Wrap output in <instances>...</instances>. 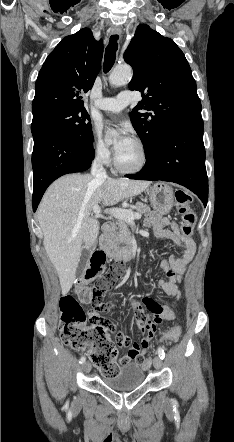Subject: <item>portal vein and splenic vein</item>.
<instances>
[{
    "label": "portal vein and splenic vein",
    "mask_w": 234,
    "mask_h": 442,
    "mask_svg": "<svg viewBox=\"0 0 234 442\" xmlns=\"http://www.w3.org/2000/svg\"><path fill=\"white\" fill-rule=\"evenodd\" d=\"M93 212L96 216H99L101 213L100 206L95 205L93 207ZM105 213L113 216L114 218H117L119 220H124L129 223H132L135 219L141 218V214L134 213L131 210L121 209V208L109 209V210H106Z\"/></svg>",
    "instance_id": "18ae733b"
}]
</instances>
